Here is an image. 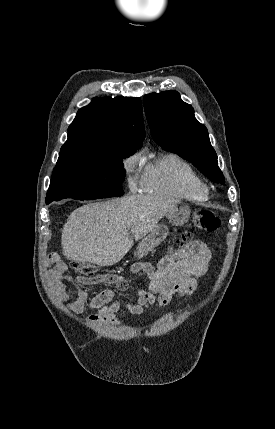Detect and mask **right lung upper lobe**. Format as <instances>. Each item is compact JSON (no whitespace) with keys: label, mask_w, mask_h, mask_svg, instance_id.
Listing matches in <instances>:
<instances>
[{"label":"right lung upper lobe","mask_w":275,"mask_h":429,"mask_svg":"<svg viewBox=\"0 0 275 429\" xmlns=\"http://www.w3.org/2000/svg\"><path fill=\"white\" fill-rule=\"evenodd\" d=\"M145 130L139 98L95 97L81 108L68 128L60 157L135 152Z\"/></svg>","instance_id":"obj_1"}]
</instances>
